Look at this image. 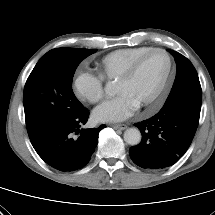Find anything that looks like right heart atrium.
<instances>
[{
  "instance_id": "d8ad5b80",
  "label": "right heart atrium",
  "mask_w": 215,
  "mask_h": 215,
  "mask_svg": "<svg viewBox=\"0 0 215 215\" xmlns=\"http://www.w3.org/2000/svg\"><path fill=\"white\" fill-rule=\"evenodd\" d=\"M104 79L90 71H78L73 80L76 97L88 103H97L104 96Z\"/></svg>"
}]
</instances>
